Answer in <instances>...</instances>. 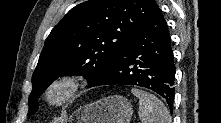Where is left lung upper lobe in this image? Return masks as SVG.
I'll use <instances>...</instances> for the list:
<instances>
[{
    "label": "left lung upper lobe",
    "instance_id": "5c2ea615",
    "mask_svg": "<svg viewBox=\"0 0 221 123\" xmlns=\"http://www.w3.org/2000/svg\"><path fill=\"white\" fill-rule=\"evenodd\" d=\"M155 0H88L71 9L47 37L32 76L28 115L59 76L83 75L90 84L113 64L155 14Z\"/></svg>",
    "mask_w": 221,
    "mask_h": 123
}]
</instances>
